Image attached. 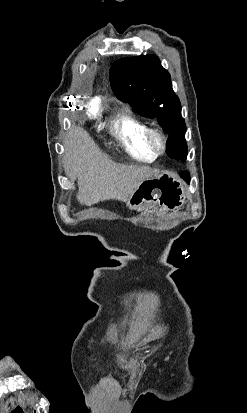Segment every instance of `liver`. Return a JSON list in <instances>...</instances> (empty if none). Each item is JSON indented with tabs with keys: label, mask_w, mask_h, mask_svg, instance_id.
<instances>
[{
	"label": "liver",
	"mask_w": 247,
	"mask_h": 413,
	"mask_svg": "<svg viewBox=\"0 0 247 413\" xmlns=\"http://www.w3.org/2000/svg\"><path fill=\"white\" fill-rule=\"evenodd\" d=\"M64 170L72 184L78 178L77 198L81 204L99 200H127L140 182L159 174L158 168L114 162L100 150L89 132L72 124L64 142Z\"/></svg>",
	"instance_id": "6515ba94"
}]
</instances>
